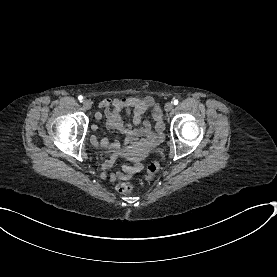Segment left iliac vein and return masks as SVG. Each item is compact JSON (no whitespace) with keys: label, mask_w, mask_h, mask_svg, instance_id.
I'll return each instance as SVG.
<instances>
[{"label":"left iliac vein","mask_w":277,"mask_h":277,"mask_svg":"<svg viewBox=\"0 0 277 277\" xmlns=\"http://www.w3.org/2000/svg\"><path fill=\"white\" fill-rule=\"evenodd\" d=\"M173 103L172 102H168L165 104V111L170 112L171 110H173Z\"/></svg>","instance_id":"left-iliac-vein-1"}]
</instances>
